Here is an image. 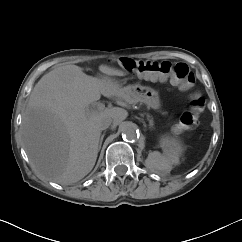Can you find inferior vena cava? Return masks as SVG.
Listing matches in <instances>:
<instances>
[{"instance_id": "inferior-vena-cava-1", "label": "inferior vena cava", "mask_w": 242, "mask_h": 242, "mask_svg": "<svg viewBox=\"0 0 242 242\" xmlns=\"http://www.w3.org/2000/svg\"><path fill=\"white\" fill-rule=\"evenodd\" d=\"M99 126L105 132H112L116 128V121L112 117H103L99 122Z\"/></svg>"}]
</instances>
